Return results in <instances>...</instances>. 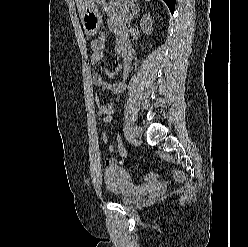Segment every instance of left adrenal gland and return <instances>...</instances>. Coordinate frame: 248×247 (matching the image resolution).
<instances>
[{"label":"left adrenal gland","instance_id":"1","mask_svg":"<svg viewBox=\"0 0 248 247\" xmlns=\"http://www.w3.org/2000/svg\"><path fill=\"white\" fill-rule=\"evenodd\" d=\"M140 12V8L139 5H136L133 9H132V13L129 19V22H131V20Z\"/></svg>","mask_w":248,"mask_h":247}]
</instances>
